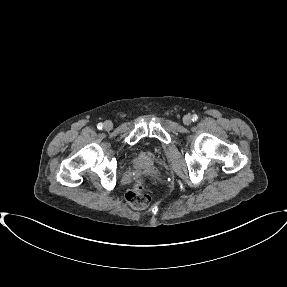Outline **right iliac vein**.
I'll list each match as a JSON object with an SVG mask.
<instances>
[{"label": "right iliac vein", "instance_id": "1", "mask_svg": "<svg viewBox=\"0 0 287 287\" xmlns=\"http://www.w3.org/2000/svg\"><path fill=\"white\" fill-rule=\"evenodd\" d=\"M112 127H113V124H112L111 121H106V122L104 123V128H105L106 130H111Z\"/></svg>", "mask_w": 287, "mask_h": 287}]
</instances>
